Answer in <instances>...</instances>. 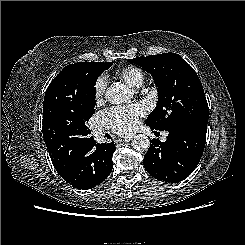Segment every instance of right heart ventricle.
<instances>
[{"label": "right heart ventricle", "instance_id": "1", "mask_svg": "<svg viewBox=\"0 0 245 245\" xmlns=\"http://www.w3.org/2000/svg\"><path fill=\"white\" fill-rule=\"evenodd\" d=\"M117 76L131 87H140L145 79L144 71L137 66L129 65L117 72Z\"/></svg>", "mask_w": 245, "mask_h": 245}]
</instances>
